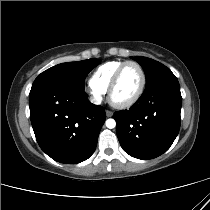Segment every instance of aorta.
<instances>
[{
  "label": "aorta",
  "instance_id": "obj_1",
  "mask_svg": "<svg viewBox=\"0 0 210 210\" xmlns=\"http://www.w3.org/2000/svg\"><path fill=\"white\" fill-rule=\"evenodd\" d=\"M106 126L109 129L114 128L116 126L115 120L114 119H108V120H106Z\"/></svg>",
  "mask_w": 210,
  "mask_h": 210
}]
</instances>
